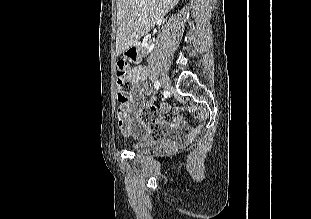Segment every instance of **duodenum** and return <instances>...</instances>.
Returning a JSON list of instances; mask_svg holds the SVG:
<instances>
[{
  "instance_id": "obj_1",
  "label": "duodenum",
  "mask_w": 311,
  "mask_h": 219,
  "mask_svg": "<svg viewBox=\"0 0 311 219\" xmlns=\"http://www.w3.org/2000/svg\"><path fill=\"white\" fill-rule=\"evenodd\" d=\"M131 52H133V57H134V59L140 60V54H139L137 48H132V49H131Z\"/></svg>"
}]
</instances>
